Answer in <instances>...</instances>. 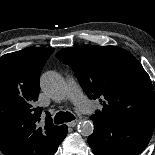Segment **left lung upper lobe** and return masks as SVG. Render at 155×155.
<instances>
[{"label": "left lung upper lobe", "mask_w": 155, "mask_h": 155, "mask_svg": "<svg viewBox=\"0 0 155 155\" xmlns=\"http://www.w3.org/2000/svg\"><path fill=\"white\" fill-rule=\"evenodd\" d=\"M56 57L75 72L91 99H99L110 120L155 119V93L140 62L116 46L85 45L62 49Z\"/></svg>", "instance_id": "obj_1"}]
</instances>
